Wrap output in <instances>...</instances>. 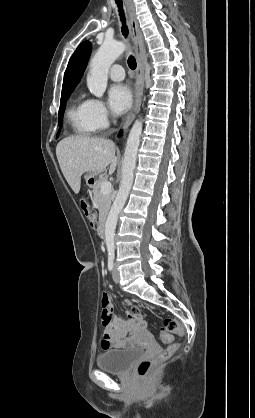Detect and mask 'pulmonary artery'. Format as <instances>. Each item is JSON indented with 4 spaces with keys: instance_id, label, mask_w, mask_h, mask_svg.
Segmentation results:
<instances>
[{
    "instance_id": "obj_1",
    "label": "pulmonary artery",
    "mask_w": 255,
    "mask_h": 418,
    "mask_svg": "<svg viewBox=\"0 0 255 418\" xmlns=\"http://www.w3.org/2000/svg\"><path fill=\"white\" fill-rule=\"evenodd\" d=\"M109 77L114 81H121L124 79V69L121 65L115 64L109 70Z\"/></svg>"
}]
</instances>
